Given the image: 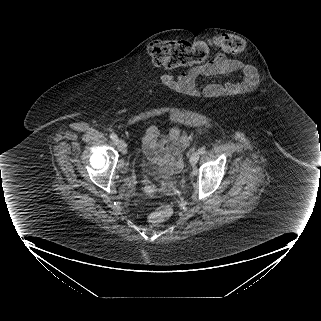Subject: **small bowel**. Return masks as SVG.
<instances>
[{"label":"small bowel","instance_id":"small-bowel-1","mask_svg":"<svg viewBox=\"0 0 321 321\" xmlns=\"http://www.w3.org/2000/svg\"><path fill=\"white\" fill-rule=\"evenodd\" d=\"M238 66L237 61L219 53L211 62L194 66L187 72L168 73L164 78L170 87L190 91L195 89L196 82L200 77L230 72ZM242 71L244 79L235 78L232 81L224 80L220 83L199 85L197 94L199 96H218L225 95L231 90L234 92L255 90L261 82L260 75L250 65H244ZM141 141L144 154L161 167L163 174L170 175L181 169V154L189 145L188 137L181 128L175 127L167 133H161L157 126L148 125Z\"/></svg>","mask_w":321,"mask_h":321}]
</instances>
